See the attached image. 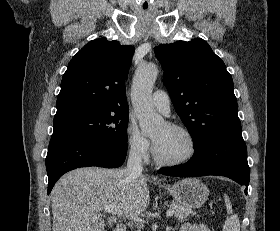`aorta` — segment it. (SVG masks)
<instances>
[{
  "mask_svg": "<svg viewBox=\"0 0 280 231\" xmlns=\"http://www.w3.org/2000/svg\"><path fill=\"white\" fill-rule=\"evenodd\" d=\"M158 74V66L155 64H139L132 86V106L144 135L158 131L159 125L164 121L163 117L155 112L151 100L153 84Z\"/></svg>",
  "mask_w": 280,
  "mask_h": 231,
  "instance_id": "aorta-1",
  "label": "aorta"
}]
</instances>
